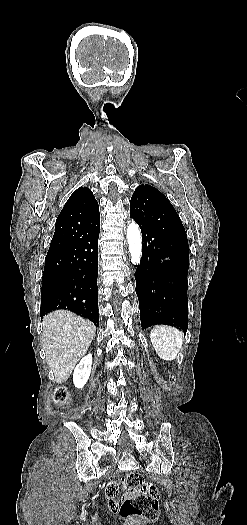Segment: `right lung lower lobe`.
Instances as JSON below:
<instances>
[{
  "label": "right lung lower lobe",
  "mask_w": 247,
  "mask_h": 525,
  "mask_svg": "<svg viewBox=\"0 0 247 525\" xmlns=\"http://www.w3.org/2000/svg\"><path fill=\"white\" fill-rule=\"evenodd\" d=\"M100 228L55 254H48L41 287L40 316L66 309L99 325L98 238Z\"/></svg>",
  "instance_id": "right-lung-lower-lobe-1"
}]
</instances>
